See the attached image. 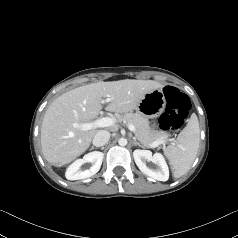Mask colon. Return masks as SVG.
<instances>
[{
    "mask_svg": "<svg viewBox=\"0 0 238 238\" xmlns=\"http://www.w3.org/2000/svg\"><path fill=\"white\" fill-rule=\"evenodd\" d=\"M166 109L159 118V126L163 131H173L179 129L185 122L189 109L190 100L179 89L167 86L163 90Z\"/></svg>",
    "mask_w": 238,
    "mask_h": 238,
    "instance_id": "5ec220e1",
    "label": "colon"
}]
</instances>
